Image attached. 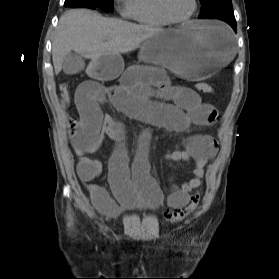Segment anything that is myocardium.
Instances as JSON below:
<instances>
[{"instance_id":"obj_1","label":"myocardium","mask_w":279,"mask_h":279,"mask_svg":"<svg viewBox=\"0 0 279 279\" xmlns=\"http://www.w3.org/2000/svg\"><path fill=\"white\" fill-rule=\"evenodd\" d=\"M157 6L160 14L169 22L174 24H181L193 18L198 10V0H193V8L188 15L181 18L172 16L166 8V0H157Z\"/></svg>"}]
</instances>
